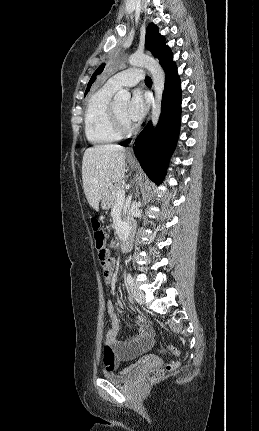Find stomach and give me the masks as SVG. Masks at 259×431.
Instances as JSON below:
<instances>
[{"label": "stomach", "mask_w": 259, "mask_h": 431, "mask_svg": "<svg viewBox=\"0 0 259 431\" xmlns=\"http://www.w3.org/2000/svg\"><path fill=\"white\" fill-rule=\"evenodd\" d=\"M100 206L102 209H109L110 208V202H109V192L103 196V198L100 200Z\"/></svg>", "instance_id": "obj_1"}]
</instances>
